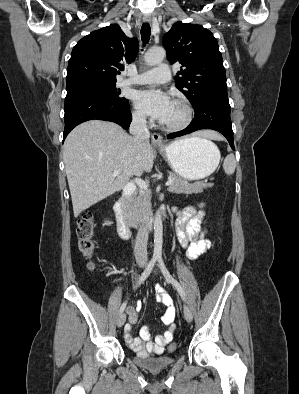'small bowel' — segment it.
Here are the masks:
<instances>
[{"label":"small bowel","instance_id":"c3829d8e","mask_svg":"<svg viewBox=\"0 0 299 394\" xmlns=\"http://www.w3.org/2000/svg\"><path fill=\"white\" fill-rule=\"evenodd\" d=\"M176 237L180 245L186 249V256L191 260L201 257L211 246L210 240L206 237V231L202 227L203 212L194 206H188L176 211ZM155 298L166 307L164 315L161 317L165 331L151 337L150 328H141L138 337H133L132 326L138 320L140 305L130 304L127 307L128 324L125 326V339L134 352L141 357L161 355L165 346L173 339L176 329L175 315L176 309L173 299L166 289L158 287Z\"/></svg>","mask_w":299,"mask_h":394}]
</instances>
